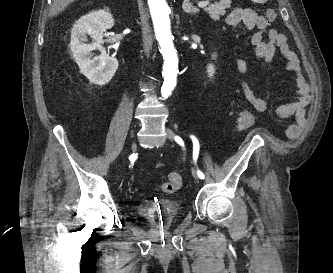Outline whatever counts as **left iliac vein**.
Here are the masks:
<instances>
[{"label":"left iliac vein","instance_id":"1","mask_svg":"<svg viewBox=\"0 0 333 273\" xmlns=\"http://www.w3.org/2000/svg\"><path fill=\"white\" fill-rule=\"evenodd\" d=\"M165 132H166L167 137L169 139L173 140L175 133L170 128H167V127L165 128ZM192 174L195 179H198V176L196 175V173L194 171H192Z\"/></svg>","mask_w":333,"mask_h":273}]
</instances>
